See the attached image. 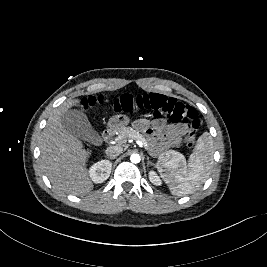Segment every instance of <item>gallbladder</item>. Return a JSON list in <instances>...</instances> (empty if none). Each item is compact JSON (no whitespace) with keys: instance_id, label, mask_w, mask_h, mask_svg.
<instances>
[{"instance_id":"1","label":"gallbladder","mask_w":267,"mask_h":267,"mask_svg":"<svg viewBox=\"0 0 267 267\" xmlns=\"http://www.w3.org/2000/svg\"><path fill=\"white\" fill-rule=\"evenodd\" d=\"M62 125L75 137L93 145H101L102 138L80 110L70 109L62 115Z\"/></svg>"}]
</instances>
